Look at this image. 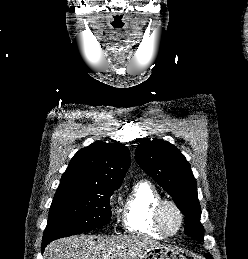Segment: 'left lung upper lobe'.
<instances>
[{
  "label": "left lung upper lobe",
  "mask_w": 248,
  "mask_h": 259,
  "mask_svg": "<svg viewBox=\"0 0 248 259\" xmlns=\"http://www.w3.org/2000/svg\"><path fill=\"white\" fill-rule=\"evenodd\" d=\"M135 158L141 168L171 195L180 211L186 215L185 234L203 241L196 180L183 154L174 145L159 139L140 143L136 148Z\"/></svg>",
  "instance_id": "obj_1"
}]
</instances>
